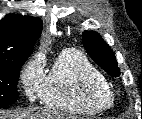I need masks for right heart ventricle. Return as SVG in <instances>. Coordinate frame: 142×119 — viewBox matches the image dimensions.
Segmentation results:
<instances>
[{"label": "right heart ventricle", "instance_id": "1", "mask_svg": "<svg viewBox=\"0 0 142 119\" xmlns=\"http://www.w3.org/2000/svg\"><path fill=\"white\" fill-rule=\"evenodd\" d=\"M101 89H109L105 76L82 52L69 48L57 56L44 77L40 98L50 108L95 115L103 110L94 97Z\"/></svg>", "mask_w": 142, "mask_h": 119}]
</instances>
